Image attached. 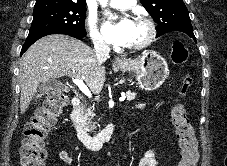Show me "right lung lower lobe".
Wrapping results in <instances>:
<instances>
[{
    "label": "right lung lower lobe",
    "mask_w": 227,
    "mask_h": 166,
    "mask_svg": "<svg viewBox=\"0 0 227 166\" xmlns=\"http://www.w3.org/2000/svg\"><path fill=\"white\" fill-rule=\"evenodd\" d=\"M50 34H65V35H69L72 37H75L77 39H82L85 36L84 35H79V34H75V33H71V32H63V31H55V32H48V33H43L39 36L33 37V38H27L26 42L24 43L22 50H21V55L34 43L36 42L38 39L50 35Z\"/></svg>",
    "instance_id": "right-lung-lower-lobe-1"
}]
</instances>
